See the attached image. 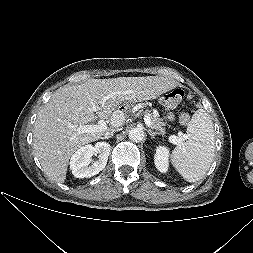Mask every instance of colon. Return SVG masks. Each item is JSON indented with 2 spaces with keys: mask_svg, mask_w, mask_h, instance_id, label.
<instances>
[{
  "mask_svg": "<svg viewBox=\"0 0 253 253\" xmlns=\"http://www.w3.org/2000/svg\"><path fill=\"white\" fill-rule=\"evenodd\" d=\"M183 96H184L183 90L176 89L164 97L163 104L166 106L176 105L182 100ZM189 118L190 116L188 113L182 112L179 116L180 123L187 124L189 121Z\"/></svg>",
  "mask_w": 253,
  "mask_h": 253,
  "instance_id": "colon-1",
  "label": "colon"
}]
</instances>
